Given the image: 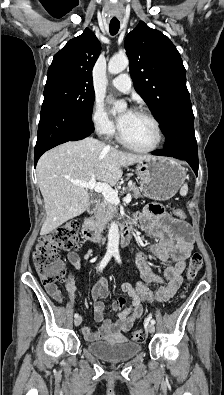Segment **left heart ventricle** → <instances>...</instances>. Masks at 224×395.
<instances>
[{
  "label": "left heart ventricle",
  "mask_w": 224,
  "mask_h": 395,
  "mask_svg": "<svg viewBox=\"0 0 224 395\" xmlns=\"http://www.w3.org/2000/svg\"><path fill=\"white\" fill-rule=\"evenodd\" d=\"M123 113L121 116H124ZM123 137L138 147H149L156 141V130L153 123L145 116L131 112L120 126Z\"/></svg>",
  "instance_id": "1"
}]
</instances>
